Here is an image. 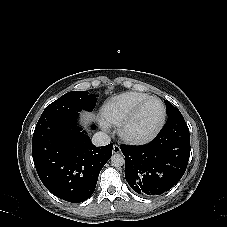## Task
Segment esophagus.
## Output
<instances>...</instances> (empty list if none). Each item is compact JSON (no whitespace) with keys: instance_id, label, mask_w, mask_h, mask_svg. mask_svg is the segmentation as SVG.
<instances>
[{"instance_id":"obj_1","label":"esophagus","mask_w":227,"mask_h":227,"mask_svg":"<svg viewBox=\"0 0 227 227\" xmlns=\"http://www.w3.org/2000/svg\"><path fill=\"white\" fill-rule=\"evenodd\" d=\"M121 149H120V146L115 144L113 146V153L116 154V153H120Z\"/></svg>"}]
</instances>
